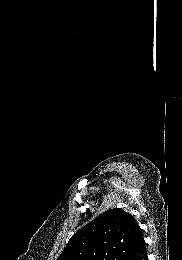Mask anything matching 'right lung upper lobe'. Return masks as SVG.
Returning <instances> with one entry per match:
<instances>
[{"label":"right lung upper lobe","instance_id":"1","mask_svg":"<svg viewBox=\"0 0 182 260\" xmlns=\"http://www.w3.org/2000/svg\"><path fill=\"white\" fill-rule=\"evenodd\" d=\"M144 245L135 218L114 208L78 230L57 260H128Z\"/></svg>","mask_w":182,"mask_h":260}]
</instances>
